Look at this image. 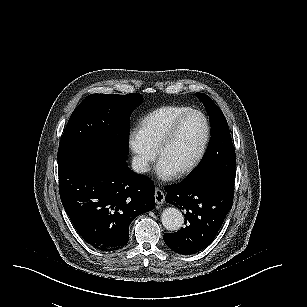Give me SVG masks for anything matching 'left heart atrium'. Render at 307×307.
Listing matches in <instances>:
<instances>
[{
	"mask_svg": "<svg viewBox=\"0 0 307 307\" xmlns=\"http://www.w3.org/2000/svg\"><path fill=\"white\" fill-rule=\"evenodd\" d=\"M170 162L168 160H161L159 163H158V171H159V174L163 177V180L165 182H174L177 178V170L175 168H170Z\"/></svg>",
	"mask_w": 307,
	"mask_h": 307,
	"instance_id": "1",
	"label": "left heart atrium"
}]
</instances>
